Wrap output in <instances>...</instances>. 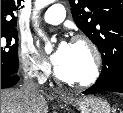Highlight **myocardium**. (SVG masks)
Listing matches in <instances>:
<instances>
[{
    "instance_id": "f54148a6",
    "label": "myocardium",
    "mask_w": 123,
    "mask_h": 113,
    "mask_svg": "<svg viewBox=\"0 0 123 113\" xmlns=\"http://www.w3.org/2000/svg\"><path fill=\"white\" fill-rule=\"evenodd\" d=\"M71 43L82 44L88 49L91 55V63H92L91 72L86 78L76 80V79L64 77L63 75H61L58 68L55 67L54 68L55 79L64 84H68V85L76 86V87H87V86L93 85L100 76L101 64H102L101 53L97 45L88 36L83 34L75 35L72 38Z\"/></svg>"
}]
</instances>
